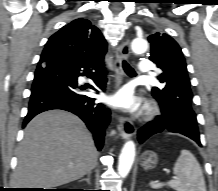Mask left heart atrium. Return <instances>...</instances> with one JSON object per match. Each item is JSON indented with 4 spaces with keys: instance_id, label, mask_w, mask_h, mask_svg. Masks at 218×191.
I'll use <instances>...</instances> for the list:
<instances>
[{
    "instance_id": "obj_1",
    "label": "left heart atrium",
    "mask_w": 218,
    "mask_h": 191,
    "mask_svg": "<svg viewBox=\"0 0 218 191\" xmlns=\"http://www.w3.org/2000/svg\"><path fill=\"white\" fill-rule=\"evenodd\" d=\"M110 102L112 105L128 111H135L141 105L140 98L129 87H123L112 95Z\"/></svg>"
}]
</instances>
